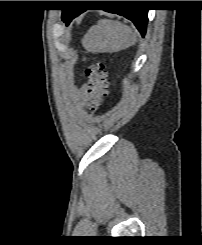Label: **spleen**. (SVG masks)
I'll use <instances>...</instances> for the list:
<instances>
[{
    "label": "spleen",
    "instance_id": "3e777b00",
    "mask_svg": "<svg viewBox=\"0 0 202 245\" xmlns=\"http://www.w3.org/2000/svg\"><path fill=\"white\" fill-rule=\"evenodd\" d=\"M137 42V34L118 21L100 20L83 39V46L89 52H118Z\"/></svg>",
    "mask_w": 202,
    "mask_h": 245
}]
</instances>
